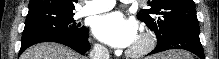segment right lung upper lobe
Returning <instances> with one entry per match:
<instances>
[{
	"label": "right lung upper lobe",
	"mask_w": 219,
	"mask_h": 59,
	"mask_svg": "<svg viewBox=\"0 0 219 59\" xmlns=\"http://www.w3.org/2000/svg\"><path fill=\"white\" fill-rule=\"evenodd\" d=\"M76 2L77 0H30L28 13L38 10L72 12L75 9L74 3Z\"/></svg>",
	"instance_id": "right-lung-upper-lobe-1"
}]
</instances>
